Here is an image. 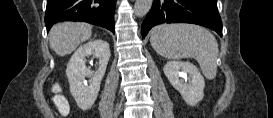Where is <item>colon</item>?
Returning <instances> with one entry per match:
<instances>
[{
	"label": "colon",
	"mask_w": 273,
	"mask_h": 118,
	"mask_svg": "<svg viewBox=\"0 0 273 118\" xmlns=\"http://www.w3.org/2000/svg\"><path fill=\"white\" fill-rule=\"evenodd\" d=\"M53 101L62 115L67 114L69 107L66 99L62 95H55Z\"/></svg>",
	"instance_id": "5ec220e1"
}]
</instances>
